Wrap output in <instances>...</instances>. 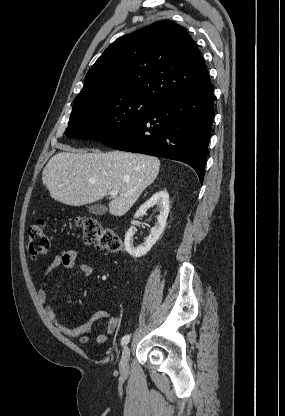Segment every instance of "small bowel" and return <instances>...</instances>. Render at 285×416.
Returning <instances> with one entry per match:
<instances>
[{
	"label": "small bowel",
	"mask_w": 285,
	"mask_h": 416,
	"mask_svg": "<svg viewBox=\"0 0 285 416\" xmlns=\"http://www.w3.org/2000/svg\"><path fill=\"white\" fill-rule=\"evenodd\" d=\"M78 253L75 250H65L57 255L43 273L42 281L38 289V299L43 306L47 318L69 338L78 339L81 343H88L91 340V331L94 323L98 320L107 319L105 330L96 335L95 341L98 344L107 342L108 337L117 328V318L107 311L98 310L93 317L76 327H70L61 323L53 308L48 303L47 295L52 280L60 276L62 271H78L84 276H90L93 266L89 263L79 262Z\"/></svg>",
	"instance_id": "obj_1"
}]
</instances>
